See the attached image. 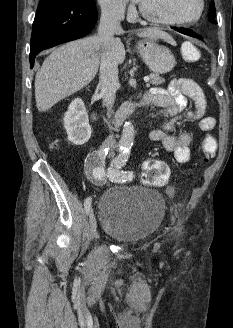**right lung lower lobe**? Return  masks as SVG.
<instances>
[{
	"mask_svg": "<svg viewBox=\"0 0 233 328\" xmlns=\"http://www.w3.org/2000/svg\"><path fill=\"white\" fill-rule=\"evenodd\" d=\"M97 21L95 3L80 0H41L33 22L30 66L42 50L84 37Z\"/></svg>",
	"mask_w": 233,
	"mask_h": 328,
	"instance_id": "right-lung-lower-lobe-1",
	"label": "right lung lower lobe"
}]
</instances>
